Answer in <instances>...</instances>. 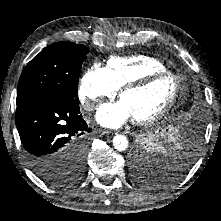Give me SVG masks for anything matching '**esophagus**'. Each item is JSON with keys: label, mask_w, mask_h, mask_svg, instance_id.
Returning <instances> with one entry per match:
<instances>
[{"label": "esophagus", "mask_w": 221, "mask_h": 221, "mask_svg": "<svg viewBox=\"0 0 221 221\" xmlns=\"http://www.w3.org/2000/svg\"><path fill=\"white\" fill-rule=\"evenodd\" d=\"M100 133H102V135H109V134H111L110 131L104 130V129H101V130H100Z\"/></svg>", "instance_id": "1"}]
</instances>
